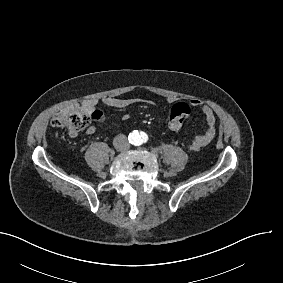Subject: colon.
Masks as SVG:
<instances>
[{"mask_svg":"<svg viewBox=\"0 0 283 283\" xmlns=\"http://www.w3.org/2000/svg\"><path fill=\"white\" fill-rule=\"evenodd\" d=\"M78 111L79 106L72 104L68 108L54 113L52 125L55 128L65 130L70 136L77 135L89 126L86 120V114ZM188 115L189 108L181 102H175L169 112L168 127L172 131H177L182 125V120Z\"/></svg>","mask_w":283,"mask_h":283,"instance_id":"colon-1","label":"colon"}]
</instances>
